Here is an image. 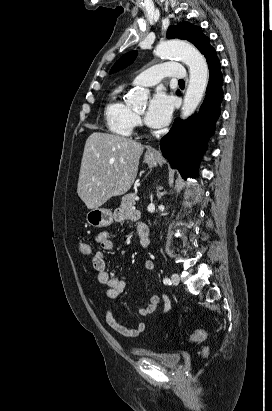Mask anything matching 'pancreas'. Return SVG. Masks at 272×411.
Masks as SVG:
<instances>
[{"mask_svg":"<svg viewBox=\"0 0 272 411\" xmlns=\"http://www.w3.org/2000/svg\"><path fill=\"white\" fill-rule=\"evenodd\" d=\"M135 193L126 194L122 197L121 209H131L135 205Z\"/></svg>","mask_w":272,"mask_h":411,"instance_id":"cf45deb5","label":"pancreas"}]
</instances>
